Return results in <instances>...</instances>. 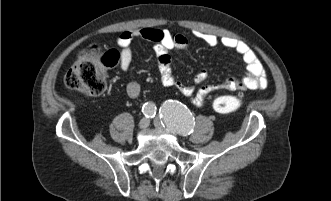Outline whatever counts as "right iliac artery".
<instances>
[{
	"label": "right iliac artery",
	"mask_w": 331,
	"mask_h": 201,
	"mask_svg": "<svg viewBox=\"0 0 331 201\" xmlns=\"http://www.w3.org/2000/svg\"><path fill=\"white\" fill-rule=\"evenodd\" d=\"M142 112L148 118H152L156 114V106L153 103L147 102L142 107Z\"/></svg>",
	"instance_id": "1"
}]
</instances>
